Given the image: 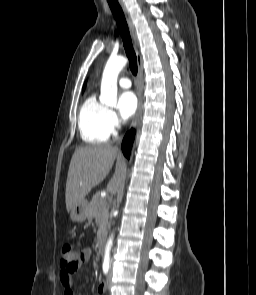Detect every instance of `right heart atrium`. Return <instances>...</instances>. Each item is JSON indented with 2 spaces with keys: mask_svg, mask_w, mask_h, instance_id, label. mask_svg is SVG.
Returning <instances> with one entry per match:
<instances>
[{
  "mask_svg": "<svg viewBox=\"0 0 256 295\" xmlns=\"http://www.w3.org/2000/svg\"><path fill=\"white\" fill-rule=\"evenodd\" d=\"M107 124L111 134H115L116 130L119 128V119L113 110H108L107 113Z\"/></svg>",
  "mask_w": 256,
  "mask_h": 295,
  "instance_id": "right-heart-atrium-1",
  "label": "right heart atrium"
}]
</instances>
